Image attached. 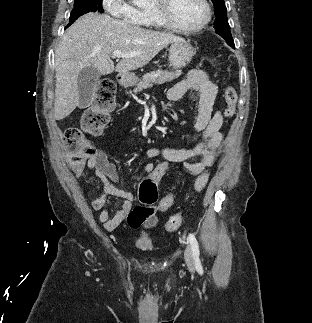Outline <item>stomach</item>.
<instances>
[{
  "instance_id": "0dacf381",
  "label": "stomach",
  "mask_w": 312,
  "mask_h": 323,
  "mask_svg": "<svg viewBox=\"0 0 312 323\" xmlns=\"http://www.w3.org/2000/svg\"><path fill=\"white\" fill-rule=\"evenodd\" d=\"M194 54H196L195 48H193L189 42H185L184 38H182L180 42H172L168 56L169 64L172 68H175V70L185 68V66L191 62ZM121 82L127 84V86H135V84L139 82V78H137L135 74L125 72V74H121Z\"/></svg>"
}]
</instances>
